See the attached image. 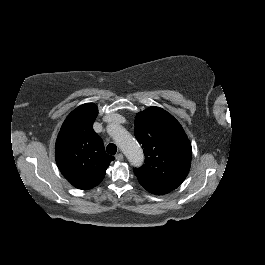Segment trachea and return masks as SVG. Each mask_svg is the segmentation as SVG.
I'll return each mask as SVG.
<instances>
[{
    "mask_svg": "<svg viewBox=\"0 0 265 265\" xmlns=\"http://www.w3.org/2000/svg\"><path fill=\"white\" fill-rule=\"evenodd\" d=\"M106 151L111 155H115L117 152V146L113 143H110L107 145Z\"/></svg>",
    "mask_w": 265,
    "mask_h": 265,
    "instance_id": "1",
    "label": "trachea"
}]
</instances>
